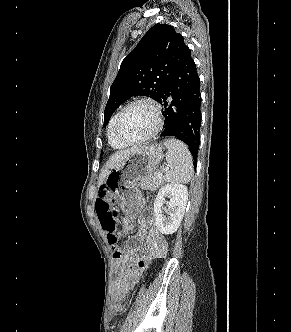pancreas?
<instances>
[{
	"instance_id": "obj_1",
	"label": "pancreas",
	"mask_w": 291,
	"mask_h": 332,
	"mask_svg": "<svg viewBox=\"0 0 291 332\" xmlns=\"http://www.w3.org/2000/svg\"><path fill=\"white\" fill-rule=\"evenodd\" d=\"M162 184V177L157 178V176H153L149 179L142 180L141 182H139L138 186L143 190L156 191Z\"/></svg>"
}]
</instances>
